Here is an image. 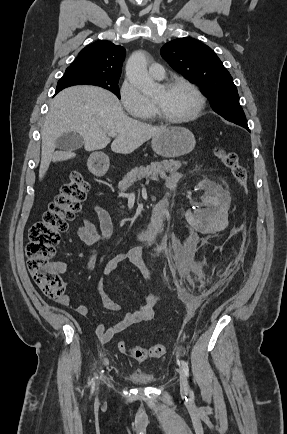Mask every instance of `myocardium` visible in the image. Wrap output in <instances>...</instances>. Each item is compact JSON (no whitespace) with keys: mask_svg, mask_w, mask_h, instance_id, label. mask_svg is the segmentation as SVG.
Instances as JSON below:
<instances>
[{"mask_svg":"<svg viewBox=\"0 0 287 434\" xmlns=\"http://www.w3.org/2000/svg\"><path fill=\"white\" fill-rule=\"evenodd\" d=\"M178 86L185 87L193 93V95L196 98V105L190 114H188L184 117H181V118H171V117L165 115L162 112V110L160 109V107L152 100L153 112H154L155 116L158 119H160L161 121L168 123V124L180 125V124H184V123L193 121L202 113L204 106H205L204 95L202 94V92L199 90V88L196 85H194L193 83H191L188 80L171 79V80L164 82L161 85V87L163 89H171V88L178 87Z\"/></svg>","mask_w":287,"mask_h":434,"instance_id":"f54148a6","label":"myocardium"}]
</instances>
